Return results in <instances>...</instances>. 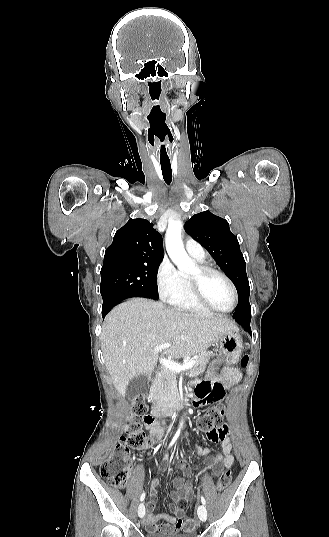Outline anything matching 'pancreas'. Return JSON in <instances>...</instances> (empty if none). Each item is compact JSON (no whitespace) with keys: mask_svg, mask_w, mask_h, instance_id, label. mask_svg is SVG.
<instances>
[{"mask_svg":"<svg viewBox=\"0 0 329 537\" xmlns=\"http://www.w3.org/2000/svg\"><path fill=\"white\" fill-rule=\"evenodd\" d=\"M210 352L204 351L197 355L193 361L195 362L190 369L189 375H197L205 368ZM153 393L160 396L167 402H173L178 398L177 392V374L176 372L167 369L164 371L152 387Z\"/></svg>","mask_w":329,"mask_h":537,"instance_id":"cf45deb5","label":"pancreas"}]
</instances>
